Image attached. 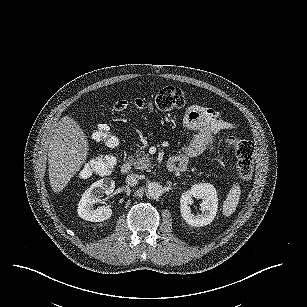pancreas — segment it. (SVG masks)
<instances>
[{
	"mask_svg": "<svg viewBox=\"0 0 307 307\" xmlns=\"http://www.w3.org/2000/svg\"><path fill=\"white\" fill-rule=\"evenodd\" d=\"M151 159L147 153L143 152L128 157V161L132 163L135 170H149V168H153L155 164Z\"/></svg>",
	"mask_w": 307,
	"mask_h": 307,
	"instance_id": "cf45deb5",
	"label": "pancreas"
}]
</instances>
